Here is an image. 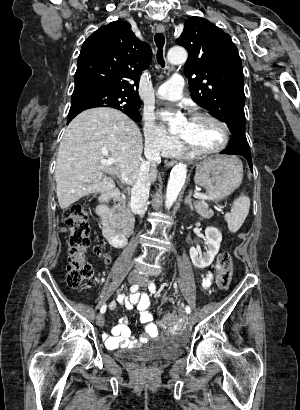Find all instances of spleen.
<instances>
[{"mask_svg":"<svg viewBox=\"0 0 300 410\" xmlns=\"http://www.w3.org/2000/svg\"><path fill=\"white\" fill-rule=\"evenodd\" d=\"M250 209V199L241 194L233 203V208L230 213H226L224 218L228 224L230 232H237L245 218L247 217Z\"/></svg>","mask_w":300,"mask_h":410,"instance_id":"3e777b00","label":"spleen"}]
</instances>
